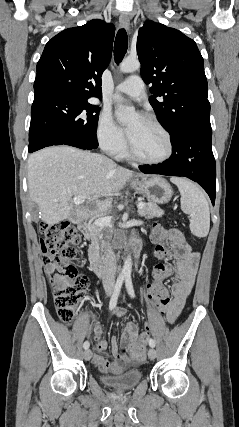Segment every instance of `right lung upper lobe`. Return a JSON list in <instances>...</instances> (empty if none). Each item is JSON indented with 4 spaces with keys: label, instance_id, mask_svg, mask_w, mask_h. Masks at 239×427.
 <instances>
[{
    "label": "right lung upper lobe",
    "instance_id": "cb5924a9",
    "mask_svg": "<svg viewBox=\"0 0 239 427\" xmlns=\"http://www.w3.org/2000/svg\"><path fill=\"white\" fill-rule=\"evenodd\" d=\"M114 32L113 24L94 19L49 40L37 63L34 99H101V76L111 59Z\"/></svg>",
    "mask_w": 239,
    "mask_h": 427
}]
</instances>
